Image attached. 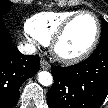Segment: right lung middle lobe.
<instances>
[{
  "label": "right lung middle lobe",
  "instance_id": "dd1d6c3e",
  "mask_svg": "<svg viewBox=\"0 0 108 108\" xmlns=\"http://www.w3.org/2000/svg\"><path fill=\"white\" fill-rule=\"evenodd\" d=\"M12 4L8 0H0V18H3V15L8 12Z\"/></svg>",
  "mask_w": 108,
  "mask_h": 108
}]
</instances>
